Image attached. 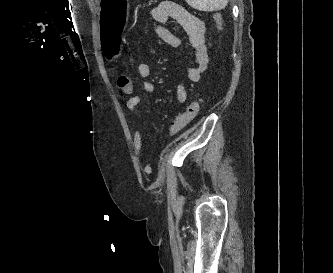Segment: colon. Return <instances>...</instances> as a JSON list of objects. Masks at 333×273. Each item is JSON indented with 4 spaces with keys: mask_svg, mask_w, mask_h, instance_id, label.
<instances>
[{
    "mask_svg": "<svg viewBox=\"0 0 333 273\" xmlns=\"http://www.w3.org/2000/svg\"><path fill=\"white\" fill-rule=\"evenodd\" d=\"M217 28H222L221 17L219 14H214L213 16ZM117 84L122 97L128 98L133 93V82L127 75H120L117 80ZM202 105L201 100H195L189 104L184 112L175 116L169 122V134L174 135L181 131L198 113Z\"/></svg>",
    "mask_w": 333,
    "mask_h": 273,
    "instance_id": "obj_1",
    "label": "colon"
}]
</instances>
